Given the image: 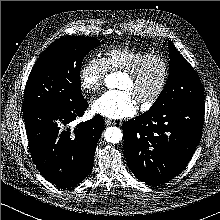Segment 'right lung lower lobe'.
Here are the masks:
<instances>
[{
	"instance_id": "1",
	"label": "right lung lower lobe",
	"mask_w": 220,
	"mask_h": 220,
	"mask_svg": "<svg viewBox=\"0 0 220 220\" xmlns=\"http://www.w3.org/2000/svg\"><path fill=\"white\" fill-rule=\"evenodd\" d=\"M88 108L85 99L71 107L40 106L23 111L32 159L39 172L60 188L82 182L90 173L104 120L96 115L79 123H70Z\"/></svg>"
}]
</instances>
